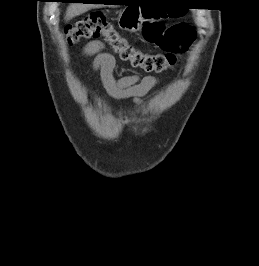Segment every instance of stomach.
Listing matches in <instances>:
<instances>
[{
	"instance_id": "0dacf381",
	"label": "stomach",
	"mask_w": 259,
	"mask_h": 266,
	"mask_svg": "<svg viewBox=\"0 0 259 266\" xmlns=\"http://www.w3.org/2000/svg\"><path fill=\"white\" fill-rule=\"evenodd\" d=\"M141 16L136 14L130 8L125 9L119 18V27L130 32L141 29Z\"/></svg>"
}]
</instances>
